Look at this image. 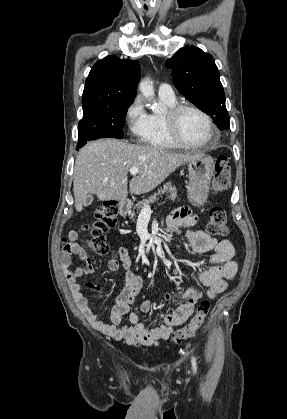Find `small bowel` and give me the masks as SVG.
<instances>
[{
  "mask_svg": "<svg viewBox=\"0 0 287 419\" xmlns=\"http://www.w3.org/2000/svg\"><path fill=\"white\" fill-rule=\"evenodd\" d=\"M196 221V216L192 214L189 208L180 207L169 216L167 225L171 229L193 227ZM78 238V230L69 231L62 239L63 245L60 252V262L78 308L96 330L136 347L153 346L157 345L160 340L168 339L173 329L183 324L191 316L199 300L204 297L213 299L216 295L222 293L227 287V280L232 279L238 270V263L234 259L235 249L230 240L226 238L217 240L202 229L192 228L184 235L191 249L197 253L213 251L209 260V268L196 271L198 280L206 287V290L201 291L193 288L185 290L181 295L182 304L171 313L161 314L163 323L160 326L146 327L141 323L139 315L135 312L130 313L129 324L121 325L123 315L129 312L135 297L142 288V278L132 270L127 250L120 247L116 254L111 255L108 261V269L115 272L121 265L126 273V279L124 287L110 312V322L107 323L100 320L91 309L82 292V285L77 282L79 278L94 272V264L85 249L79 244ZM73 257L85 261L86 265L71 269ZM85 287L94 291H102L105 289V284L103 282H87ZM171 298L172 295H165L166 300ZM152 307V302L146 300L141 303L140 310L148 313L152 310Z\"/></svg>",
  "mask_w": 287,
  "mask_h": 419,
  "instance_id": "small-bowel-1",
  "label": "small bowel"
}]
</instances>
